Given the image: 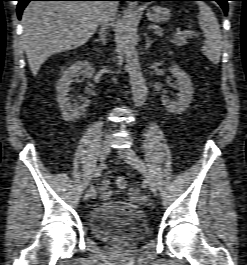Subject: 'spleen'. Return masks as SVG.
Wrapping results in <instances>:
<instances>
[{"instance_id": "obj_1", "label": "spleen", "mask_w": 247, "mask_h": 265, "mask_svg": "<svg viewBox=\"0 0 247 265\" xmlns=\"http://www.w3.org/2000/svg\"><path fill=\"white\" fill-rule=\"evenodd\" d=\"M197 4L199 6L198 20L205 37L201 51L212 63L218 64L223 45L219 23L205 2L199 1Z\"/></svg>"}]
</instances>
